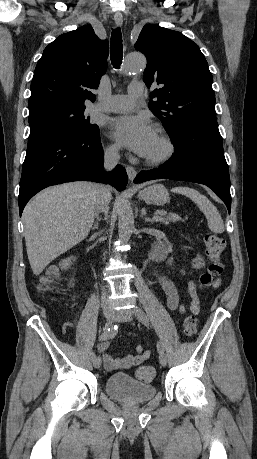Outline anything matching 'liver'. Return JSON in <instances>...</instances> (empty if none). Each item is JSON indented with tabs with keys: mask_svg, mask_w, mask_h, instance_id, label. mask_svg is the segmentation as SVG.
Listing matches in <instances>:
<instances>
[{
	"mask_svg": "<svg viewBox=\"0 0 257 459\" xmlns=\"http://www.w3.org/2000/svg\"><path fill=\"white\" fill-rule=\"evenodd\" d=\"M98 186L91 182L53 186L25 207L22 218L26 249L36 276L87 237L96 214ZM107 192L110 202L111 193Z\"/></svg>",
	"mask_w": 257,
	"mask_h": 459,
	"instance_id": "liver-1",
	"label": "liver"
}]
</instances>
